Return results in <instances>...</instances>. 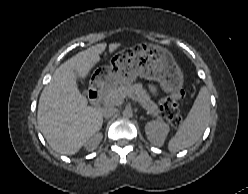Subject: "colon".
Instances as JSON below:
<instances>
[{"label":"colon","instance_id":"5ec220e1","mask_svg":"<svg viewBox=\"0 0 248 194\" xmlns=\"http://www.w3.org/2000/svg\"><path fill=\"white\" fill-rule=\"evenodd\" d=\"M184 90H176L162 99L160 103V111L174 127H179L183 121V117L179 111V106L185 98Z\"/></svg>","mask_w":248,"mask_h":194}]
</instances>
